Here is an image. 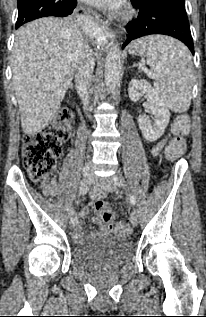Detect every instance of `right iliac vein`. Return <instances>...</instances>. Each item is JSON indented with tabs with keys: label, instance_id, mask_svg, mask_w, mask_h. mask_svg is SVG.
<instances>
[{
	"label": "right iliac vein",
	"instance_id": "right-iliac-vein-1",
	"mask_svg": "<svg viewBox=\"0 0 206 317\" xmlns=\"http://www.w3.org/2000/svg\"><path fill=\"white\" fill-rule=\"evenodd\" d=\"M83 178H84L85 183H87V184L91 183L94 179L92 171H90V170L84 171ZM76 224H77V217L71 218V220H70L71 227L74 228L76 226Z\"/></svg>",
	"mask_w": 206,
	"mask_h": 317
}]
</instances>
